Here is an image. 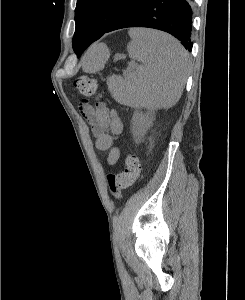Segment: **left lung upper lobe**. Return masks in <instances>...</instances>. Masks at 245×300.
<instances>
[{
  "label": "left lung upper lobe",
  "mask_w": 245,
  "mask_h": 300,
  "mask_svg": "<svg viewBox=\"0 0 245 300\" xmlns=\"http://www.w3.org/2000/svg\"><path fill=\"white\" fill-rule=\"evenodd\" d=\"M136 0H77L75 9L76 30L73 37L75 53L83 41L103 35L113 21Z\"/></svg>",
  "instance_id": "obj_1"
}]
</instances>
